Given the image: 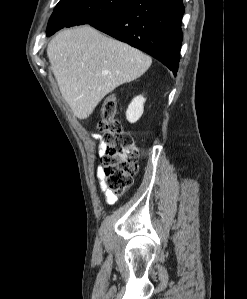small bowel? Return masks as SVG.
Instances as JSON below:
<instances>
[{"label": "small bowel", "instance_id": "1", "mask_svg": "<svg viewBox=\"0 0 247 299\" xmlns=\"http://www.w3.org/2000/svg\"><path fill=\"white\" fill-rule=\"evenodd\" d=\"M91 136H92V138H93L94 140H97V141L100 140V136H99L98 134L93 133V134H91ZM98 153H99V155H101V156L103 155V143H102V142L99 143V150H98ZM97 175H98V177H99L100 179L103 178L102 169H101L100 167L98 168ZM99 187H100V190H101L102 192H104V194H105L106 202H107L108 204H113V203L115 202V200H116V197H115V195H114L111 191L107 190V187H106L105 182H104V181H101V182L99 183Z\"/></svg>", "mask_w": 247, "mask_h": 299}]
</instances>
